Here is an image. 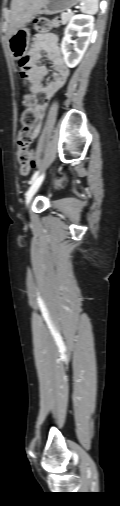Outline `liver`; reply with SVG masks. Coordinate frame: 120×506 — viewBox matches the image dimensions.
Returning a JSON list of instances; mask_svg holds the SVG:
<instances>
[{"label": "liver", "instance_id": "6515ba94", "mask_svg": "<svg viewBox=\"0 0 120 506\" xmlns=\"http://www.w3.org/2000/svg\"><path fill=\"white\" fill-rule=\"evenodd\" d=\"M46 0H12L10 16L8 17V38L22 28L33 15L44 7Z\"/></svg>", "mask_w": 120, "mask_h": 506}]
</instances>
